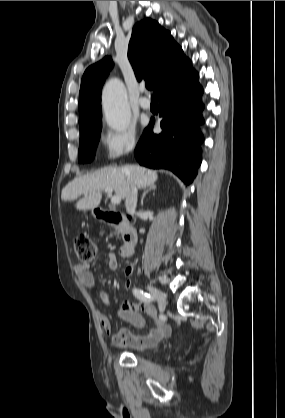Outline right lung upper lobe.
<instances>
[{"label": "right lung upper lobe", "mask_w": 285, "mask_h": 418, "mask_svg": "<svg viewBox=\"0 0 285 418\" xmlns=\"http://www.w3.org/2000/svg\"><path fill=\"white\" fill-rule=\"evenodd\" d=\"M128 58L137 80L152 82L157 96L193 69L170 32L149 18L134 25ZM113 65L107 56L86 69L79 92L80 126L102 118L101 90Z\"/></svg>", "instance_id": "cb5924a9"}]
</instances>
